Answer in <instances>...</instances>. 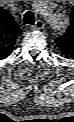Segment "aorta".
Masks as SVG:
<instances>
[{
    "mask_svg": "<svg viewBox=\"0 0 74 122\" xmlns=\"http://www.w3.org/2000/svg\"><path fill=\"white\" fill-rule=\"evenodd\" d=\"M33 8L45 20L52 32L56 35L64 33L68 21L52 9L49 1H34Z\"/></svg>",
    "mask_w": 74,
    "mask_h": 122,
    "instance_id": "762f6f07",
    "label": "aorta"
}]
</instances>
